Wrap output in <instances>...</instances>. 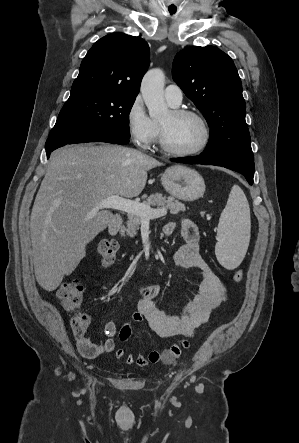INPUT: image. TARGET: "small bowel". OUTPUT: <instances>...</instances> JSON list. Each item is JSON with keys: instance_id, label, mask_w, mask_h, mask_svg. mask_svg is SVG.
Returning a JSON list of instances; mask_svg holds the SVG:
<instances>
[{"instance_id": "small-bowel-1", "label": "small bowel", "mask_w": 299, "mask_h": 443, "mask_svg": "<svg viewBox=\"0 0 299 443\" xmlns=\"http://www.w3.org/2000/svg\"><path fill=\"white\" fill-rule=\"evenodd\" d=\"M174 231V223H168L164 227L166 235H172ZM181 234L183 244L176 251L174 262L180 268H197L201 271L202 281L198 293L180 313H170L156 302L160 287L155 284L143 286L140 289L141 299L137 309L131 313L129 320L123 326H119L115 321H108L105 324L104 333L107 338L103 342L93 343L86 335L78 336L77 347L84 358L93 359L102 354L114 353L117 360L127 365L135 363L140 367H145L159 362L161 354L156 350L151 351L147 356L135 358L123 349H116L115 337L120 342H126L131 336L132 324L146 322L162 338L182 337L169 349L170 358L176 359L183 349L189 348L188 338L192 337L201 325L208 322L214 309L226 301L225 284L200 254L199 232L195 224L189 219H183Z\"/></svg>"}]
</instances>
